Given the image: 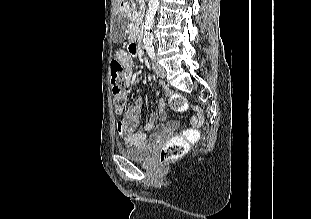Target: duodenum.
Returning <instances> with one entry per match:
<instances>
[{"label":"duodenum","instance_id":"duodenum-1","mask_svg":"<svg viewBox=\"0 0 311 219\" xmlns=\"http://www.w3.org/2000/svg\"><path fill=\"white\" fill-rule=\"evenodd\" d=\"M120 9H121L122 12L126 10L124 5H121ZM141 46H142L141 39L138 36H136L133 39V43H132L131 47H133V48H141Z\"/></svg>","mask_w":311,"mask_h":219}]
</instances>
